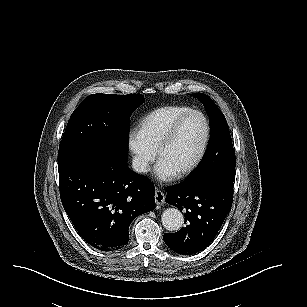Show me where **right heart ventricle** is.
Returning <instances> with one entry per match:
<instances>
[{"mask_svg": "<svg viewBox=\"0 0 307 307\" xmlns=\"http://www.w3.org/2000/svg\"><path fill=\"white\" fill-rule=\"evenodd\" d=\"M181 111L178 106L170 107L167 105L154 110L149 118L140 125V137L152 145H162L163 138L171 131L172 124Z\"/></svg>", "mask_w": 307, "mask_h": 307, "instance_id": "obj_1", "label": "right heart ventricle"}]
</instances>
